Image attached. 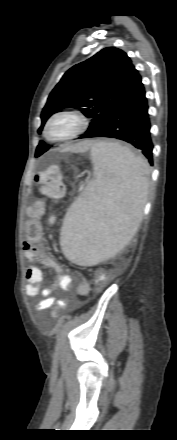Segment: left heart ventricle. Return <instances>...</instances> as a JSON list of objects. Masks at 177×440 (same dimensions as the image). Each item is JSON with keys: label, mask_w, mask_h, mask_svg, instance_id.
Here are the masks:
<instances>
[{"label": "left heart ventricle", "mask_w": 177, "mask_h": 440, "mask_svg": "<svg viewBox=\"0 0 177 440\" xmlns=\"http://www.w3.org/2000/svg\"><path fill=\"white\" fill-rule=\"evenodd\" d=\"M74 126V122L67 118L57 119L50 128L52 136H60L71 130Z\"/></svg>", "instance_id": "1"}]
</instances>
